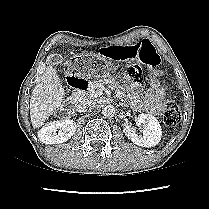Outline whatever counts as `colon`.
<instances>
[{
	"label": "colon",
	"instance_id": "1",
	"mask_svg": "<svg viewBox=\"0 0 209 209\" xmlns=\"http://www.w3.org/2000/svg\"><path fill=\"white\" fill-rule=\"evenodd\" d=\"M99 54L112 59L123 60L128 63L139 61L149 67L156 68L160 64V56L154 45L147 41H140L131 46L107 48L101 47ZM181 119V110L177 105L170 104L163 113V122L169 127L176 126Z\"/></svg>",
	"mask_w": 209,
	"mask_h": 209
}]
</instances>
